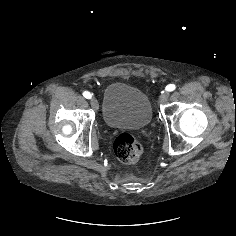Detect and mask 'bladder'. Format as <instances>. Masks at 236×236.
<instances>
[{
	"instance_id": "bladder-1",
	"label": "bladder",
	"mask_w": 236,
	"mask_h": 236,
	"mask_svg": "<svg viewBox=\"0 0 236 236\" xmlns=\"http://www.w3.org/2000/svg\"><path fill=\"white\" fill-rule=\"evenodd\" d=\"M101 114L110 128L139 129L152 120V103L140 89L126 83L114 82L104 90Z\"/></svg>"
}]
</instances>
